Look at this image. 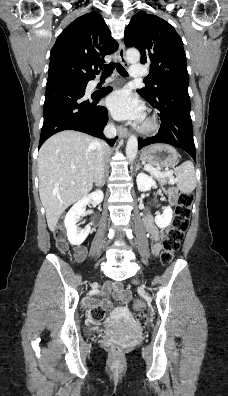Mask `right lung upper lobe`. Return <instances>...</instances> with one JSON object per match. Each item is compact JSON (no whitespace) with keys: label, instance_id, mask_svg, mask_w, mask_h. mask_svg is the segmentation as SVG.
Segmentation results:
<instances>
[{"label":"right lung upper lobe","instance_id":"1","mask_svg":"<svg viewBox=\"0 0 228 396\" xmlns=\"http://www.w3.org/2000/svg\"><path fill=\"white\" fill-rule=\"evenodd\" d=\"M117 49L99 13L80 16L62 31L51 50L46 86L94 79L97 65L105 63L104 57Z\"/></svg>","mask_w":228,"mask_h":396}]
</instances>
